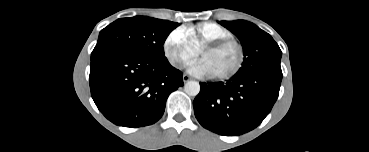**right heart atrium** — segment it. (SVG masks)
Segmentation results:
<instances>
[{
	"instance_id": "1",
	"label": "right heart atrium",
	"mask_w": 369,
	"mask_h": 152,
	"mask_svg": "<svg viewBox=\"0 0 369 152\" xmlns=\"http://www.w3.org/2000/svg\"><path fill=\"white\" fill-rule=\"evenodd\" d=\"M163 52L168 62L177 69L186 66L198 53L190 44L183 28H176L167 35Z\"/></svg>"
}]
</instances>
